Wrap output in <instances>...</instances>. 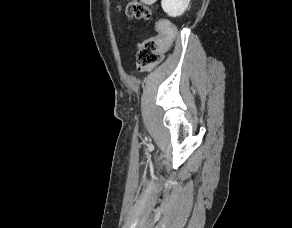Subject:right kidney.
Wrapping results in <instances>:
<instances>
[{
    "instance_id": "right-kidney-1",
    "label": "right kidney",
    "mask_w": 292,
    "mask_h": 228,
    "mask_svg": "<svg viewBox=\"0 0 292 228\" xmlns=\"http://www.w3.org/2000/svg\"><path fill=\"white\" fill-rule=\"evenodd\" d=\"M190 0H162L163 10L171 17L181 16L187 9Z\"/></svg>"
}]
</instances>
